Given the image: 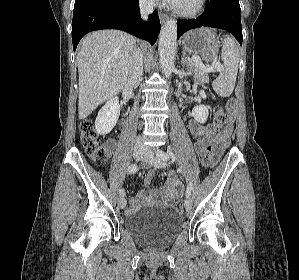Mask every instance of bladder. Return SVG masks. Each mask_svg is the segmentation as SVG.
Here are the masks:
<instances>
[{"label": "bladder", "mask_w": 299, "mask_h": 280, "mask_svg": "<svg viewBox=\"0 0 299 280\" xmlns=\"http://www.w3.org/2000/svg\"><path fill=\"white\" fill-rule=\"evenodd\" d=\"M127 231L142 245L160 249L170 245L182 228V216L171 207L145 208L125 220Z\"/></svg>", "instance_id": "31cf9c89"}]
</instances>
